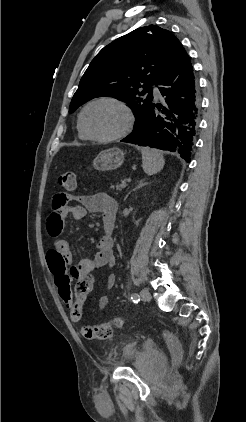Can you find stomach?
Instances as JSON below:
<instances>
[{"instance_id":"0dacf381","label":"stomach","mask_w":246,"mask_h":422,"mask_svg":"<svg viewBox=\"0 0 246 422\" xmlns=\"http://www.w3.org/2000/svg\"><path fill=\"white\" fill-rule=\"evenodd\" d=\"M124 152L119 148L101 151L93 160V167L99 171H109L119 168L125 159Z\"/></svg>"}]
</instances>
